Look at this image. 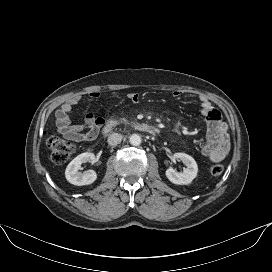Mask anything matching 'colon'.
Listing matches in <instances>:
<instances>
[{"instance_id": "5ec220e1", "label": "colon", "mask_w": 272, "mask_h": 272, "mask_svg": "<svg viewBox=\"0 0 272 272\" xmlns=\"http://www.w3.org/2000/svg\"><path fill=\"white\" fill-rule=\"evenodd\" d=\"M47 146L51 151V160L57 165L67 162L74 152V146L58 135H51L47 140ZM223 171L224 167L220 164L213 165L210 169L213 176H219Z\"/></svg>"}]
</instances>
